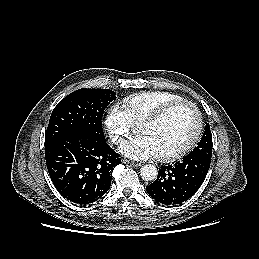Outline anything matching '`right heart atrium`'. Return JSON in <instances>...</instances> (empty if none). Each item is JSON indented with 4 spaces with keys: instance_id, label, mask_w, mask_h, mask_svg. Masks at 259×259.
Wrapping results in <instances>:
<instances>
[{
    "instance_id": "d8ad5b80",
    "label": "right heart atrium",
    "mask_w": 259,
    "mask_h": 259,
    "mask_svg": "<svg viewBox=\"0 0 259 259\" xmlns=\"http://www.w3.org/2000/svg\"><path fill=\"white\" fill-rule=\"evenodd\" d=\"M104 125L112 141L115 144H120L129 137L133 121L127 108L116 102L107 110Z\"/></svg>"
}]
</instances>
